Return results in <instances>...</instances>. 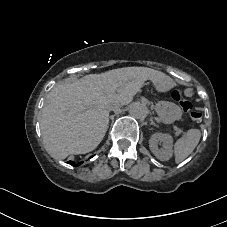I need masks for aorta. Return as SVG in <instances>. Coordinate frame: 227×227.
<instances>
[{
  "instance_id": "aorta-1",
  "label": "aorta",
  "mask_w": 227,
  "mask_h": 227,
  "mask_svg": "<svg viewBox=\"0 0 227 227\" xmlns=\"http://www.w3.org/2000/svg\"><path fill=\"white\" fill-rule=\"evenodd\" d=\"M129 114L136 119H144L148 114V108L144 103L134 102L129 107Z\"/></svg>"
}]
</instances>
